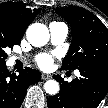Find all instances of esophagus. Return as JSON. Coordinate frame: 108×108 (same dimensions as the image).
I'll list each match as a JSON object with an SVG mask.
<instances>
[{
	"label": "esophagus",
	"instance_id": "esophagus-1",
	"mask_svg": "<svg viewBox=\"0 0 108 108\" xmlns=\"http://www.w3.org/2000/svg\"><path fill=\"white\" fill-rule=\"evenodd\" d=\"M50 78H51V75L42 74V79H43V80H47V79H50Z\"/></svg>",
	"mask_w": 108,
	"mask_h": 108
}]
</instances>
